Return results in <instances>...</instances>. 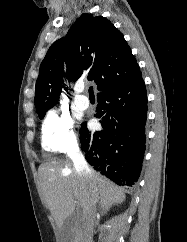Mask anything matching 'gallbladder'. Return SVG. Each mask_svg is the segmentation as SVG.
<instances>
[{
  "instance_id": "obj_1",
  "label": "gallbladder",
  "mask_w": 187,
  "mask_h": 242,
  "mask_svg": "<svg viewBox=\"0 0 187 242\" xmlns=\"http://www.w3.org/2000/svg\"><path fill=\"white\" fill-rule=\"evenodd\" d=\"M78 214L73 213L68 218L65 219L62 226V237L61 242H72V237L70 235V229L75 226L77 222Z\"/></svg>"
}]
</instances>
